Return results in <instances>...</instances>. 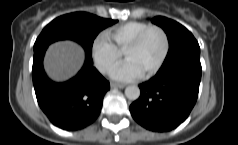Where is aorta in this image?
Masks as SVG:
<instances>
[{
  "label": "aorta",
  "mask_w": 238,
  "mask_h": 145,
  "mask_svg": "<svg viewBox=\"0 0 238 145\" xmlns=\"http://www.w3.org/2000/svg\"><path fill=\"white\" fill-rule=\"evenodd\" d=\"M125 95L129 100H137L140 96V89L136 85L127 86L125 89Z\"/></svg>",
  "instance_id": "obj_1"
}]
</instances>
